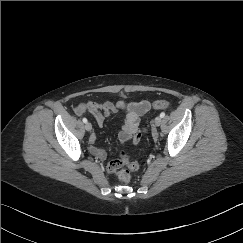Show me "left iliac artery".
Listing matches in <instances>:
<instances>
[{
	"instance_id": "44dca946",
	"label": "left iliac artery",
	"mask_w": 243,
	"mask_h": 243,
	"mask_svg": "<svg viewBox=\"0 0 243 243\" xmlns=\"http://www.w3.org/2000/svg\"><path fill=\"white\" fill-rule=\"evenodd\" d=\"M165 116V112L160 113V117L163 118Z\"/></svg>"
}]
</instances>
